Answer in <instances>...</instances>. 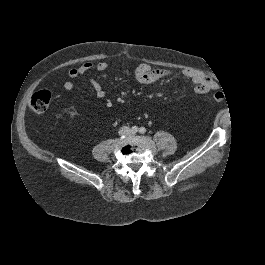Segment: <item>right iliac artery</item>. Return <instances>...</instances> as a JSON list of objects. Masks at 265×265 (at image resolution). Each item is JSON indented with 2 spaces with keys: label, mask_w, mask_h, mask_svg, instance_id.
<instances>
[{
  "label": "right iliac artery",
  "mask_w": 265,
  "mask_h": 265,
  "mask_svg": "<svg viewBox=\"0 0 265 265\" xmlns=\"http://www.w3.org/2000/svg\"><path fill=\"white\" fill-rule=\"evenodd\" d=\"M131 131L134 132V133H136L138 131V127L137 126H133L131 128Z\"/></svg>",
  "instance_id": "1"
}]
</instances>
